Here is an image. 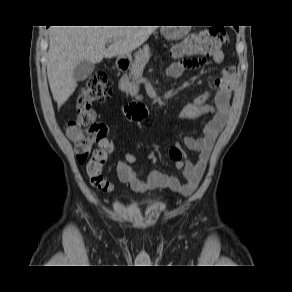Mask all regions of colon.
Listing matches in <instances>:
<instances>
[{
  "mask_svg": "<svg viewBox=\"0 0 292 292\" xmlns=\"http://www.w3.org/2000/svg\"><path fill=\"white\" fill-rule=\"evenodd\" d=\"M227 33L222 27H212L187 37L172 49V56H210L227 42ZM107 77L96 74L81 87L77 98V117L66 125V134L73 141L77 161L86 164L90 183L102 192L112 190V184L103 177V167L112 151V141L106 126L96 120L92 105L102 102L110 96ZM97 143L99 148L92 150ZM173 161L183 159V152L177 147L169 150ZM159 153L150 151L148 159L153 163L159 159Z\"/></svg>",
  "mask_w": 292,
  "mask_h": 292,
  "instance_id": "colon-1",
  "label": "colon"
}]
</instances>
